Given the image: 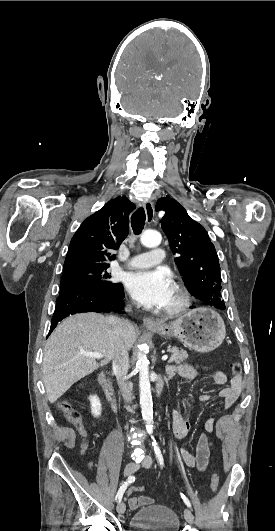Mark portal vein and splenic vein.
Listing matches in <instances>:
<instances>
[{
    "mask_svg": "<svg viewBox=\"0 0 275 531\" xmlns=\"http://www.w3.org/2000/svg\"><path fill=\"white\" fill-rule=\"evenodd\" d=\"M81 355H84V357H94V359H103L104 355L102 353H81ZM168 355H164L162 357V361H167Z\"/></svg>",
    "mask_w": 275,
    "mask_h": 531,
    "instance_id": "1",
    "label": "portal vein and splenic vein"
}]
</instances>
